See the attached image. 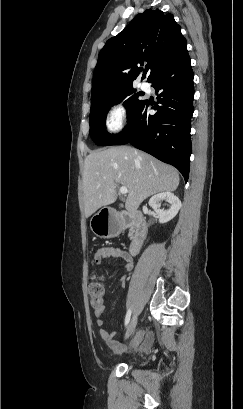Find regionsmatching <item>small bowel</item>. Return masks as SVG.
<instances>
[{
  "mask_svg": "<svg viewBox=\"0 0 243 409\" xmlns=\"http://www.w3.org/2000/svg\"><path fill=\"white\" fill-rule=\"evenodd\" d=\"M119 259L124 262L123 267L126 271H130L133 268V261L131 256L125 252L124 250L117 248V247H101L99 248L94 254V264L100 268L104 259ZM120 281L125 283L126 277L122 276ZM104 306L102 305L100 308L95 309V322L97 326L103 327L104 326ZM100 336L104 341L107 342L109 349L112 352H118L123 349V347L114 340L115 332H109L105 329L100 330ZM155 345V338L152 333H148L146 338H144V332L139 331L134 339V344L132 347L126 348L137 354H143L151 352Z\"/></svg>",
  "mask_w": 243,
  "mask_h": 409,
  "instance_id": "small-bowel-1",
  "label": "small bowel"
}]
</instances>
